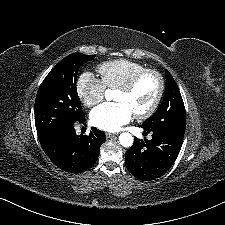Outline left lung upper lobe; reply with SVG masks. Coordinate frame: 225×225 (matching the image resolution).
<instances>
[{
    "instance_id": "left-lung-upper-lobe-1",
    "label": "left lung upper lobe",
    "mask_w": 225,
    "mask_h": 225,
    "mask_svg": "<svg viewBox=\"0 0 225 225\" xmlns=\"http://www.w3.org/2000/svg\"><path fill=\"white\" fill-rule=\"evenodd\" d=\"M145 127L163 129L166 127L181 133L185 132L186 113L178 86L166 70L165 95L157 111L142 124Z\"/></svg>"
}]
</instances>
